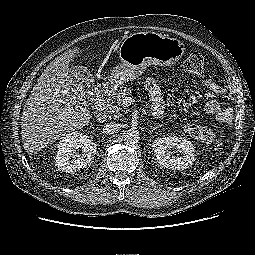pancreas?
Segmentation results:
<instances>
[{
  "instance_id": "obj_1",
  "label": "pancreas",
  "mask_w": 255,
  "mask_h": 255,
  "mask_svg": "<svg viewBox=\"0 0 255 255\" xmlns=\"http://www.w3.org/2000/svg\"><path fill=\"white\" fill-rule=\"evenodd\" d=\"M132 90L129 88L122 86L120 89L114 91L107 100L106 109L109 113H113L114 117L119 118L123 116L124 110H122L119 105L121 104L122 100L131 95Z\"/></svg>"
}]
</instances>
